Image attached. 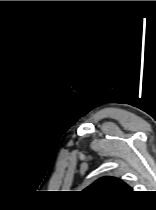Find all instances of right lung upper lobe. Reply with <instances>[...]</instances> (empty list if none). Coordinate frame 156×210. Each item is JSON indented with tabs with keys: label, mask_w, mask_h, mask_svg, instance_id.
<instances>
[{
	"label": "right lung upper lobe",
	"mask_w": 156,
	"mask_h": 210,
	"mask_svg": "<svg viewBox=\"0 0 156 210\" xmlns=\"http://www.w3.org/2000/svg\"><path fill=\"white\" fill-rule=\"evenodd\" d=\"M85 191L94 194L120 195L131 192V188L115 177H102L88 186Z\"/></svg>",
	"instance_id": "cb5924a9"
}]
</instances>
